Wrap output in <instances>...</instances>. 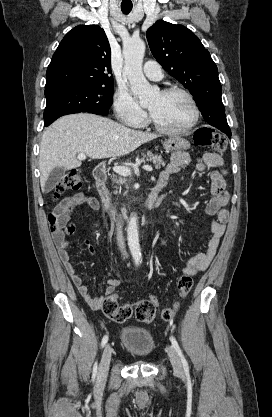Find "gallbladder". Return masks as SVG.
I'll return each instance as SVG.
<instances>
[{
	"instance_id": "obj_1",
	"label": "gallbladder",
	"mask_w": 272,
	"mask_h": 417,
	"mask_svg": "<svg viewBox=\"0 0 272 417\" xmlns=\"http://www.w3.org/2000/svg\"><path fill=\"white\" fill-rule=\"evenodd\" d=\"M66 170L63 167H56L54 168L46 181L45 184V191L48 193L52 191L59 181L65 176Z\"/></svg>"
}]
</instances>
